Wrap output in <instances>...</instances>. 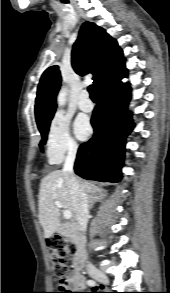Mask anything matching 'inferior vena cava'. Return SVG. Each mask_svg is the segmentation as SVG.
I'll use <instances>...</instances> for the list:
<instances>
[{"label":"inferior vena cava","instance_id":"1","mask_svg":"<svg viewBox=\"0 0 170 293\" xmlns=\"http://www.w3.org/2000/svg\"><path fill=\"white\" fill-rule=\"evenodd\" d=\"M77 154V146L72 145L69 147L68 154L63 166L66 182L72 197L73 207L76 214L77 222L82 231H86L87 221L89 216V200L88 196L80 186L77 178L73 172V166ZM87 268H92L88 263Z\"/></svg>","mask_w":170,"mask_h":293}]
</instances>
